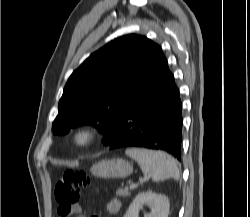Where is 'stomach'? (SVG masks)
<instances>
[{
	"mask_svg": "<svg viewBox=\"0 0 250 217\" xmlns=\"http://www.w3.org/2000/svg\"><path fill=\"white\" fill-rule=\"evenodd\" d=\"M132 172V164L119 158L99 161L91 168V173L100 178H125Z\"/></svg>",
	"mask_w": 250,
	"mask_h": 217,
	"instance_id": "1",
	"label": "stomach"
}]
</instances>
